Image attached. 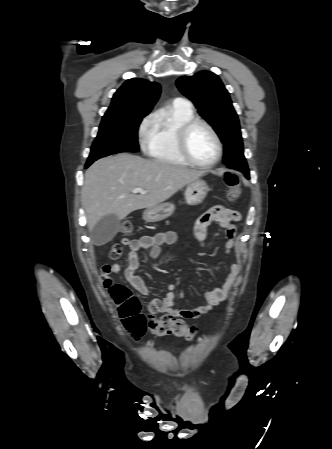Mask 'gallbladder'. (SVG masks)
<instances>
[{"instance_id": "bac80fb5", "label": "gallbladder", "mask_w": 332, "mask_h": 449, "mask_svg": "<svg viewBox=\"0 0 332 449\" xmlns=\"http://www.w3.org/2000/svg\"><path fill=\"white\" fill-rule=\"evenodd\" d=\"M120 220L113 214L101 218L91 230V239L95 245H104L118 232Z\"/></svg>"}]
</instances>
